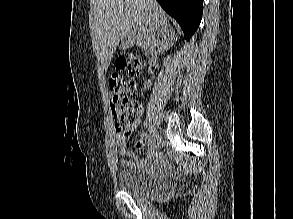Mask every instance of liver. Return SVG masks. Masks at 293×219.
I'll return each instance as SVG.
<instances>
[{
  "label": "liver",
  "instance_id": "1",
  "mask_svg": "<svg viewBox=\"0 0 293 219\" xmlns=\"http://www.w3.org/2000/svg\"><path fill=\"white\" fill-rule=\"evenodd\" d=\"M131 34L145 55L163 53L177 40L156 0H96L92 42L103 70L121 40Z\"/></svg>",
  "mask_w": 293,
  "mask_h": 219
}]
</instances>
